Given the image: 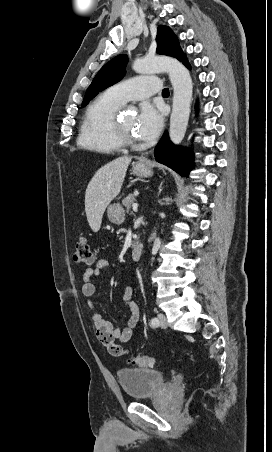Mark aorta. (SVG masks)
<instances>
[{"instance_id": "aorta-1", "label": "aorta", "mask_w": 272, "mask_h": 452, "mask_svg": "<svg viewBox=\"0 0 272 452\" xmlns=\"http://www.w3.org/2000/svg\"><path fill=\"white\" fill-rule=\"evenodd\" d=\"M133 69L141 74H169L174 90L169 136L174 144H180L186 133L193 93L188 69L177 59L165 56L137 59L133 63ZM155 236L156 232H153L149 240L152 241Z\"/></svg>"}]
</instances>
